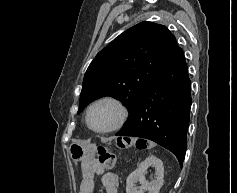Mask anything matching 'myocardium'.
Instances as JSON below:
<instances>
[{
    "label": "myocardium",
    "mask_w": 237,
    "mask_h": 193,
    "mask_svg": "<svg viewBox=\"0 0 237 193\" xmlns=\"http://www.w3.org/2000/svg\"><path fill=\"white\" fill-rule=\"evenodd\" d=\"M103 103H108V104H112L113 106H115L117 111H118V117H117V120L115 121V123L112 126H110L109 128L96 129L92 126V124L90 122V115H91L92 110L96 106H98L100 104H103ZM127 120H128V110H127V108L125 107V105L120 100H118L117 98H114L112 96H104V97L98 98L97 100H95L94 102H92L90 104V106L88 107L87 112H86L87 126L93 132L98 133V134H108V133L116 132V131H118V130H120L121 128L124 127Z\"/></svg>",
    "instance_id": "1"
}]
</instances>
